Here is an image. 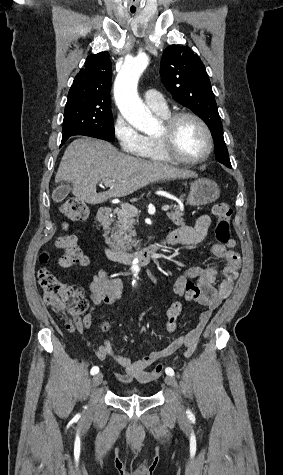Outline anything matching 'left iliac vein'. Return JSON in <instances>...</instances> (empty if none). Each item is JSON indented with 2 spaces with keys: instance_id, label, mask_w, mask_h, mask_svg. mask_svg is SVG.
<instances>
[{
  "instance_id": "obj_1",
  "label": "left iliac vein",
  "mask_w": 283,
  "mask_h": 475,
  "mask_svg": "<svg viewBox=\"0 0 283 475\" xmlns=\"http://www.w3.org/2000/svg\"><path fill=\"white\" fill-rule=\"evenodd\" d=\"M165 382H166L167 385L171 386L175 391L178 392L179 387H178V384H177V382H176V380L173 376L165 377ZM177 405H178L179 408L182 407L180 396L177 398Z\"/></svg>"
}]
</instances>
